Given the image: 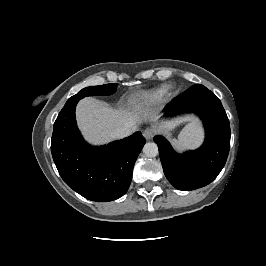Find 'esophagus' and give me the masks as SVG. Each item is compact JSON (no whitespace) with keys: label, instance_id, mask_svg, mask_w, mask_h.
Returning a JSON list of instances; mask_svg holds the SVG:
<instances>
[{"label":"esophagus","instance_id":"esophagus-1","mask_svg":"<svg viewBox=\"0 0 266 266\" xmlns=\"http://www.w3.org/2000/svg\"><path fill=\"white\" fill-rule=\"evenodd\" d=\"M143 136L146 140H151L155 136V130L152 128H147L143 131Z\"/></svg>","mask_w":266,"mask_h":266}]
</instances>
